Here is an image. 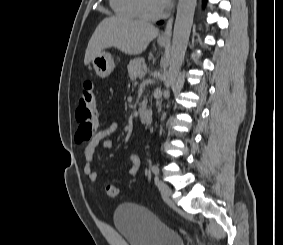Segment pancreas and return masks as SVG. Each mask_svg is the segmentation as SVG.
<instances>
[{"mask_svg":"<svg viewBox=\"0 0 283 245\" xmlns=\"http://www.w3.org/2000/svg\"><path fill=\"white\" fill-rule=\"evenodd\" d=\"M145 65V60L143 58H136L129 62L127 66L128 74L131 80L136 79L140 76L142 67ZM144 105V103H143Z\"/></svg>","mask_w":283,"mask_h":245,"instance_id":"1","label":"pancreas"}]
</instances>
